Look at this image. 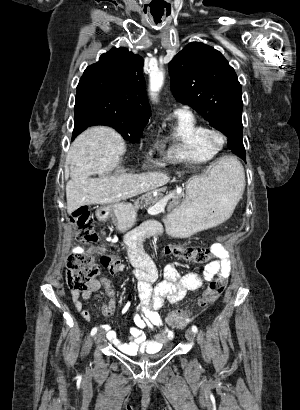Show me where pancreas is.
<instances>
[{
  "instance_id": "obj_1",
  "label": "pancreas",
  "mask_w": 300,
  "mask_h": 410,
  "mask_svg": "<svg viewBox=\"0 0 300 410\" xmlns=\"http://www.w3.org/2000/svg\"><path fill=\"white\" fill-rule=\"evenodd\" d=\"M169 195H172L171 197V201L168 204V209H174L176 208L180 202L181 199L183 197V193H179L177 194L176 191H171L169 193ZM162 199V194H159L158 196L154 197L153 194L151 192L144 194L142 197L139 198V200H141V202L137 201L135 203V208H140L142 206V204L144 205H149V204H156L158 201H160Z\"/></svg>"
}]
</instances>
